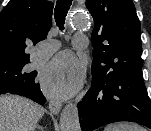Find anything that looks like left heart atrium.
<instances>
[{
	"instance_id": "1",
	"label": "left heart atrium",
	"mask_w": 151,
	"mask_h": 131,
	"mask_svg": "<svg viewBox=\"0 0 151 131\" xmlns=\"http://www.w3.org/2000/svg\"><path fill=\"white\" fill-rule=\"evenodd\" d=\"M83 64L70 53L54 58L43 70L41 83L50 97L61 99L75 94L83 84Z\"/></svg>"
}]
</instances>
